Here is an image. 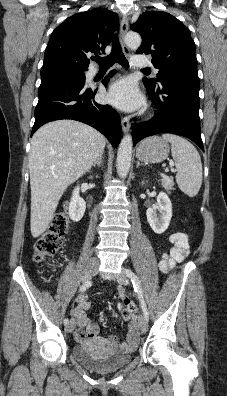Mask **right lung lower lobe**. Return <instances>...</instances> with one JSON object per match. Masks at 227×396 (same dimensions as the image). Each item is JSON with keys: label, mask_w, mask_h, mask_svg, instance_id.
<instances>
[{"label": "right lung lower lobe", "mask_w": 227, "mask_h": 396, "mask_svg": "<svg viewBox=\"0 0 227 396\" xmlns=\"http://www.w3.org/2000/svg\"><path fill=\"white\" fill-rule=\"evenodd\" d=\"M113 74L114 71L106 77L104 85ZM95 94L96 90L87 88L84 82L68 78L41 82L31 135L50 121L72 119L94 127L116 147L122 135L120 116L111 106L97 104Z\"/></svg>", "instance_id": "right-lung-lower-lobe-1"}]
</instances>
